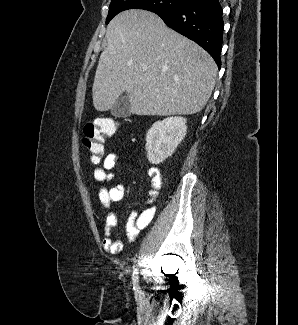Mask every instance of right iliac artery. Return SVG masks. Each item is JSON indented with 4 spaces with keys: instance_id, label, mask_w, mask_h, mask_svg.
I'll use <instances>...</instances> for the list:
<instances>
[{
    "instance_id": "1",
    "label": "right iliac artery",
    "mask_w": 298,
    "mask_h": 325,
    "mask_svg": "<svg viewBox=\"0 0 298 325\" xmlns=\"http://www.w3.org/2000/svg\"><path fill=\"white\" fill-rule=\"evenodd\" d=\"M132 280H133L134 290L136 292H138V290H139V286H138L139 273H138V270L137 269H135L134 272H133Z\"/></svg>"
}]
</instances>
